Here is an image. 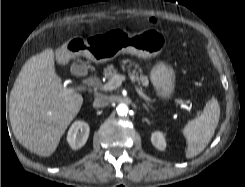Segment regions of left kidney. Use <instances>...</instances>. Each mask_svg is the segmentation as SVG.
<instances>
[{
	"label": "left kidney",
	"instance_id": "1",
	"mask_svg": "<svg viewBox=\"0 0 245 187\" xmlns=\"http://www.w3.org/2000/svg\"><path fill=\"white\" fill-rule=\"evenodd\" d=\"M151 142L158 150H165L166 140L162 132L156 131L151 135Z\"/></svg>",
	"mask_w": 245,
	"mask_h": 187
}]
</instances>
